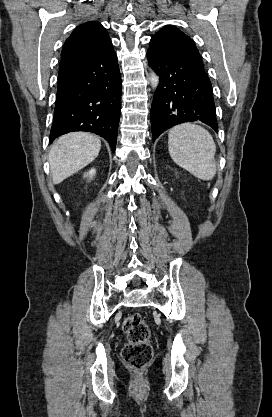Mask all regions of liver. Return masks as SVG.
I'll list each match as a JSON object with an SVG mask.
<instances>
[{"mask_svg":"<svg viewBox=\"0 0 272 417\" xmlns=\"http://www.w3.org/2000/svg\"><path fill=\"white\" fill-rule=\"evenodd\" d=\"M101 141L84 132L69 133L56 140L49 153L54 184H59L90 164L99 154Z\"/></svg>","mask_w":272,"mask_h":417,"instance_id":"liver-1","label":"liver"}]
</instances>
